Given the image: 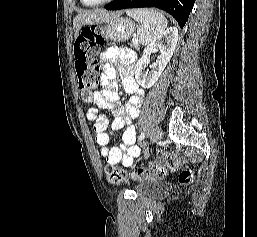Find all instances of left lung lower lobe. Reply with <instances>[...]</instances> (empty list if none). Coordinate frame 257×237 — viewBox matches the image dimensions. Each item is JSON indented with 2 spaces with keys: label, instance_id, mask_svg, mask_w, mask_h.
Returning <instances> with one entry per match:
<instances>
[{
  "label": "left lung lower lobe",
  "instance_id": "1",
  "mask_svg": "<svg viewBox=\"0 0 257 237\" xmlns=\"http://www.w3.org/2000/svg\"><path fill=\"white\" fill-rule=\"evenodd\" d=\"M195 0H114L104 6L107 10L156 7L171 14L181 28L184 27Z\"/></svg>",
  "mask_w": 257,
  "mask_h": 237
}]
</instances>
